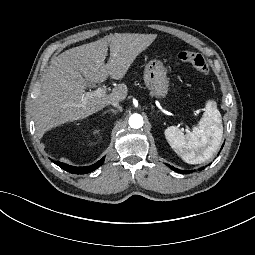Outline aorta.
Here are the masks:
<instances>
[{
	"label": "aorta",
	"instance_id": "obj_1",
	"mask_svg": "<svg viewBox=\"0 0 255 255\" xmlns=\"http://www.w3.org/2000/svg\"><path fill=\"white\" fill-rule=\"evenodd\" d=\"M129 125L131 128L138 129L143 126V118L140 114H132L129 118Z\"/></svg>",
	"mask_w": 255,
	"mask_h": 255
}]
</instances>
